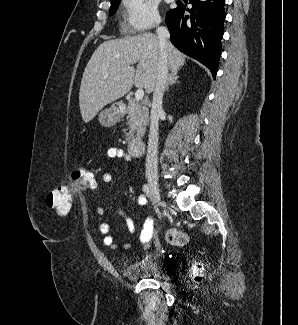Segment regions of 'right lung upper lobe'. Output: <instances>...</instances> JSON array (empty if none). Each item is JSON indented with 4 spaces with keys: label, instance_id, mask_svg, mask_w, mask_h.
Wrapping results in <instances>:
<instances>
[{
    "label": "right lung upper lobe",
    "instance_id": "cb5924a9",
    "mask_svg": "<svg viewBox=\"0 0 298 325\" xmlns=\"http://www.w3.org/2000/svg\"><path fill=\"white\" fill-rule=\"evenodd\" d=\"M116 1H118V0H111V3H112V2H116Z\"/></svg>",
    "mask_w": 298,
    "mask_h": 325
}]
</instances>
